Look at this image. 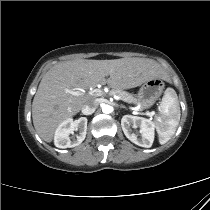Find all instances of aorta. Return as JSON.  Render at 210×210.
<instances>
[{
	"label": "aorta",
	"instance_id": "1",
	"mask_svg": "<svg viewBox=\"0 0 210 210\" xmlns=\"http://www.w3.org/2000/svg\"><path fill=\"white\" fill-rule=\"evenodd\" d=\"M112 110L113 109L110 105L105 104V105L102 106V112L105 113V114L111 113Z\"/></svg>",
	"mask_w": 210,
	"mask_h": 210
}]
</instances>
